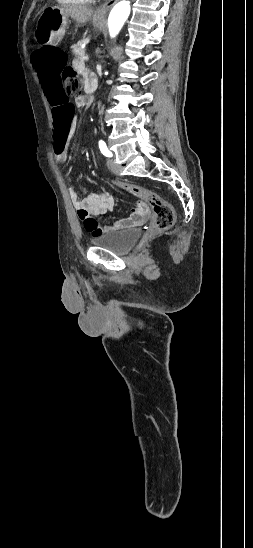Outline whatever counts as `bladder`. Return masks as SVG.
I'll use <instances>...</instances> for the list:
<instances>
[{"label":"bladder","instance_id":"1","mask_svg":"<svg viewBox=\"0 0 253 548\" xmlns=\"http://www.w3.org/2000/svg\"><path fill=\"white\" fill-rule=\"evenodd\" d=\"M141 236L139 228L121 231H110L93 236L90 243L93 246L106 248L117 254L127 253Z\"/></svg>","mask_w":253,"mask_h":548}]
</instances>
